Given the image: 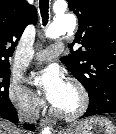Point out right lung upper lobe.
<instances>
[{
	"label": "right lung upper lobe",
	"instance_id": "right-lung-upper-lobe-1",
	"mask_svg": "<svg viewBox=\"0 0 116 134\" xmlns=\"http://www.w3.org/2000/svg\"><path fill=\"white\" fill-rule=\"evenodd\" d=\"M37 22V11L26 0H0V69L9 67V58L28 24Z\"/></svg>",
	"mask_w": 116,
	"mask_h": 134
}]
</instances>
